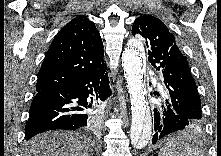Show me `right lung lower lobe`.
Wrapping results in <instances>:
<instances>
[{"label":"right lung lower lobe","mask_w":221,"mask_h":156,"mask_svg":"<svg viewBox=\"0 0 221 156\" xmlns=\"http://www.w3.org/2000/svg\"><path fill=\"white\" fill-rule=\"evenodd\" d=\"M93 95L101 102L111 95L105 65L58 90L37 92L30 107L25 139L54 129L94 128L96 116L89 110Z\"/></svg>","instance_id":"98d812e1"}]
</instances>
